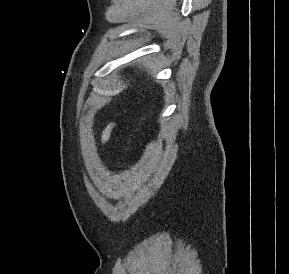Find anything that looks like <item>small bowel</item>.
Listing matches in <instances>:
<instances>
[{
  "label": "small bowel",
  "instance_id": "obj_1",
  "mask_svg": "<svg viewBox=\"0 0 289 274\" xmlns=\"http://www.w3.org/2000/svg\"><path fill=\"white\" fill-rule=\"evenodd\" d=\"M114 130H115V124L114 123L107 124V126L102 130L101 144L103 146H105L108 143Z\"/></svg>",
  "mask_w": 289,
  "mask_h": 274
}]
</instances>
